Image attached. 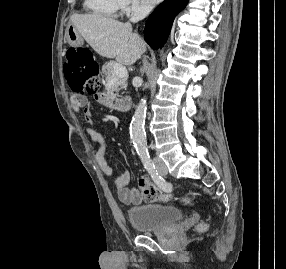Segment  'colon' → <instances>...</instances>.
I'll use <instances>...</instances> for the list:
<instances>
[{
	"instance_id": "colon-1",
	"label": "colon",
	"mask_w": 286,
	"mask_h": 269,
	"mask_svg": "<svg viewBox=\"0 0 286 269\" xmlns=\"http://www.w3.org/2000/svg\"><path fill=\"white\" fill-rule=\"evenodd\" d=\"M65 74L70 86L77 92L93 94L98 86V66L90 52L86 48H71L66 53ZM141 196L149 201H166L167 197L146 176H141L138 181ZM189 203L190 199L185 198ZM205 225L200 229L204 230Z\"/></svg>"
}]
</instances>
